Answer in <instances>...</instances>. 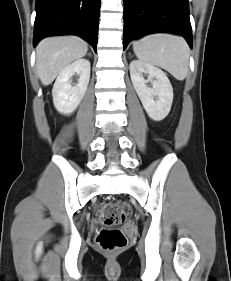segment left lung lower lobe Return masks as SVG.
I'll return each instance as SVG.
<instances>
[{
  "label": "left lung lower lobe",
  "instance_id": "0a47b994",
  "mask_svg": "<svg viewBox=\"0 0 231 281\" xmlns=\"http://www.w3.org/2000/svg\"><path fill=\"white\" fill-rule=\"evenodd\" d=\"M172 32L192 48L188 0H124L123 47L141 35Z\"/></svg>",
  "mask_w": 231,
  "mask_h": 281
}]
</instances>
